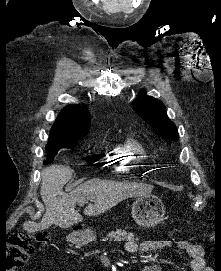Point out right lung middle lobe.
<instances>
[{
	"label": "right lung middle lobe",
	"mask_w": 221,
	"mask_h": 271,
	"mask_svg": "<svg viewBox=\"0 0 221 271\" xmlns=\"http://www.w3.org/2000/svg\"><path fill=\"white\" fill-rule=\"evenodd\" d=\"M81 138L76 139H59V138H49V141L46 146V151L48 152L47 160L44 161V164H50L52 159L56 156L57 152L61 148L73 149L77 141Z\"/></svg>",
	"instance_id": "dd1d6c3e"
}]
</instances>
